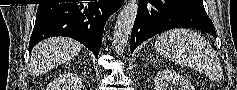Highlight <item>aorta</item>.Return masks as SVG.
I'll return each instance as SVG.
<instances>
[{
  "mask_svg": "<svg viewBox=\"0 0 237 90\" xmlns=\"http://www.w3.org/2000/svg\"><path fill=\"white\" fill-rule=\"evenodd\" d=\"M138 8V0H128L118 14L113 32L114 52L118 56H123L126 50L138 14Z\"/></svg>",
  "mask_w": 237,
  "mask_h": 90,
  "instance_id": "aorta-1",
  "label": "aorta"
}]
</instances>
